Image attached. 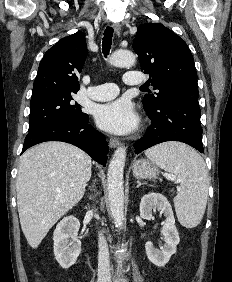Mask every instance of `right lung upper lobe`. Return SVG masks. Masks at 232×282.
Wrapping results in <instances>:
<instances>
[{
    "label": "right lung upper lobe",
    "mask_w": 232,
    "mask_h": 282,
    "mask_svg": "<svg viewBox=\"0 0 232 282\" xmlns=\"http://www.w3.org/2000/svg\"><path fill=\"white\" fill-rule=\"evenodd\" d=\"M87 56L82 32L78 31L59 40L44 55L34 81L33 91L63 89L78 91V73Z\"/></svg>",
    "instance_id": "cb5924a9"
}]
</instances>
